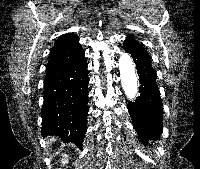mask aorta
I'll use <instances>...</instances> for the list:
<instances>
[{
  "label": "aorta",
  "instance_id": "762f6f07",
  "mask_svg": "<svg viewBox=\"0 0 200 169\" xmlns=\"http://www.w3.org/2000/svg\"><path fill=\"white\" fill-rule=\"evenodd\" d=\"M121 85L128 99H135L138 93V78L131 56L122 52L119 58Z\"/></svg>",
  "mask_w": 200,
  "mask_h": 169
}]
</instances>
